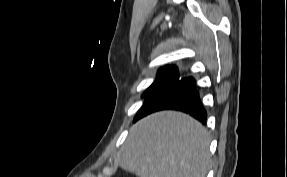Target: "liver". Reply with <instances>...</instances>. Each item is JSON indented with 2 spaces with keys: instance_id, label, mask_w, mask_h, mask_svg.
Segmentation results:
<instances>
[{
  "instance_id": "obj_1",
  "label": "liver",
  "mask_w": 287,
  "mask_h": 177,
  "mask_svg": "<svg viewBox=\"0 0 287 177\" xmlns=\"http://www.w3.org/2000/svg\"><path fill=\"white\" fill-rule=\"evenodd\" d=\"M210 138L187 114L161 111L134 124L119 153V166L139 177H205Z\"/></svg>"
}]
</instances>
